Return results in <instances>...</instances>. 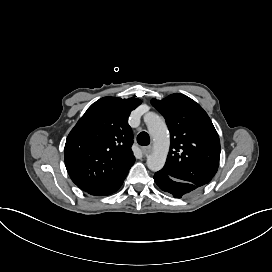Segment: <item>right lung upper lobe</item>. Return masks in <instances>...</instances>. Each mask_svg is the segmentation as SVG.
<instances>
[{
  "mask_svg": "<svg viewBox=\"0 0 272 272\" xmlns=\"http://www.w3.org/2000/svg\"><path fill=\"white\" fill-rule=\"evenodd\" d=\"M137 98L103 97L93 103L69 133L65 165L72 181L83 191L115 182L135 162L130 112Z\"/></svg>",
  "mask_w": 272,
  "mask_h": 272,
  "instance_id": "right-lung-upper-lobe-1",
  "label": "right lung upper lobe"
}]
</instances>
